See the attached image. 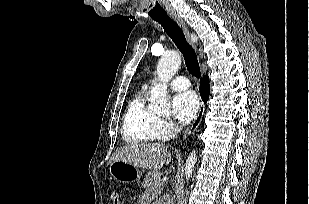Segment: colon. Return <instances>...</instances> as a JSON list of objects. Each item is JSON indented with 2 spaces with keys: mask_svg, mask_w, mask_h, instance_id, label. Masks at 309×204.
Segmentation results:
<instances>
[{
  "mask_svg": "<svg viewBox=\"0 0 309 204\" xmlns=\"http://www.w3.org/2000/svg\"><path fill=\"white\" fill-rule=\"evenodd\" d=\"M113 204H122V194L119 192H114L112 195Z\"/></svg>",
  "mask_w": 309,
  "mask_h": 204,
  "instance_id": "obj_1",
  "label": "colon"
}]
</instances>
